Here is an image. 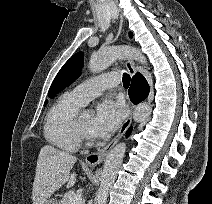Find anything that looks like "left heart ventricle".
Returning a JSON list of instances; mask_svg holds the SVG:
<instances>
[{
	"mask_svg": "<svg viewBox=\"0 0 212 204\" xmlns=\"http://www.w3.org/2000/svg\"><path fill=\"white\" fill-rule=\"evenodd\" d=\"M94 115L93 114H83L79 116V121L82 128L91 135V128L93 124Z\"/></svg>",
	"mask_w": 212,
	"mask_h": 204,
	"instance_id": "b2bd125f",
	"label": "left heart ventricle"
}]
</instances>
